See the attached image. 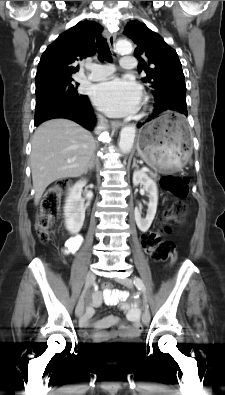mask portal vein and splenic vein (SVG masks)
I'll return each instance as SVG.
<instances>
[{
  "label": "portal vein and splenic vein",
  "mask_w": 225,
  "mask_h": 395,
  "mask_svg": "<svg viewBox=\"0 0 225 395\" xmlns=\"http://www.w3.org/2000/svg\"><path fill=\"white\" fill-rule=\"evenodd\" d=\"M68 162H71V161L69 160ZM142 171H145V172H147V171H149V168H147V167H143V168H142Z\"/></svg>",
  "instance_id": "obj_1"
}]
</instances>
